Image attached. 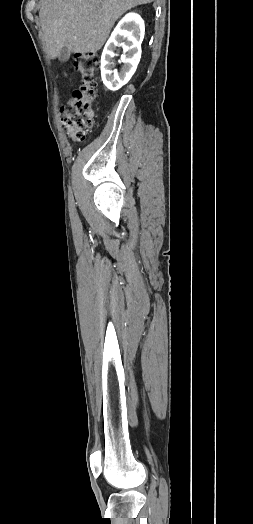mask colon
Returning <instances> with one entry per match:
<instances>
[{"mask_svg":"<svg viewBox=\"0 0 253 524\" xmlns=\"http://www.w3.org/2000/svg\"><path fill=\"white\" fill-rule=\"evenodd\" d=\"M100 64L98 53L80 54L75 66L82 77L80 86L73 90L62 106L60 120L74 142H82L94 121L93 103L96 97L95 75Z\"/></svg>","mask_w":253,"mask_h":524,"instance_id":"obj_1","label":"colon"}]
</instances>
